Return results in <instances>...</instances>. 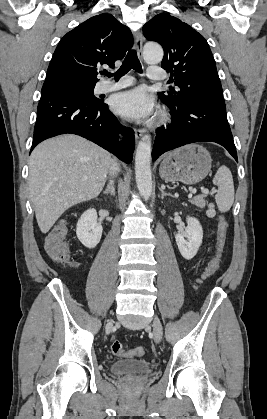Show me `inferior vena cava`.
Returning a JSON list of instances; mask_svg holds the SVG:
<instances>
[{
	"label": "inferior vena cava",
	"instance_id": "1",
	"mask_svg": "<svg viewBox=\"0 0 267 419\" xmlns=\"http://www.w3.org/2000/svg\"><path fill=\"white\" fill-rule=\"evenodd\" d=\"M118 170H119L118 163L114 159H111L110 166H109V174L111 176H114L117 174Z\"/></svg>",
	"mask_w": 267,
	"mask_h": 419
}]
</instances>
